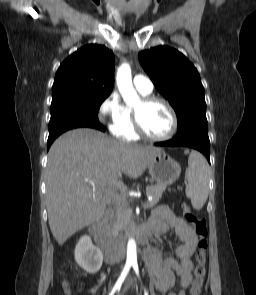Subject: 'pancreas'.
Wrapping results in <instances>:
<instances>
[{
	"instance_id": "pancreas-1",
	"label": "pancreas",
	"mask_w": 256,
	"mask_h": 295,
	"mask_svg": "<svg viewBox=\"0 0 256 295\" xmlns=\"http://www.w3.org/2000/svg\"><path fill=\"white\" fill-rule=\"evenodd\" d=\"M165 189L166 186L164 185L148 186L146 192L152 196V201L146 202V208H152L155 206L161 199ZM130 214L131 211L128 202L125 200L119 202L115 212L111 215L110 232L116 234L123 230L130 221Z\"/></svg>"
}]
</instances>
